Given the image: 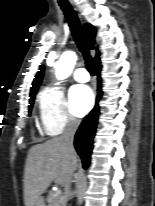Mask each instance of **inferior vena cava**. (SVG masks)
Instances as JSON below:
<instances>
[{"label":"inferior vena cava","instance_id":"inferior-vena-cava-1","mask_svg":"<svg viewBox=\"0 0 155 206\" xmlns=\"http://www.w3.org/2000/svg\"><path fill=\"white\" fill-rule=\"evenodd\" d=\"M78 127H79V121L74 117H69L64 133L61 136V140L65 146V149L69 153L74 152L73 140H74L75 132L77 131ZM70 184H71V179L65 185V190L67 193L70 190Z\"/></svg>","mask_w":155,"mask_h":206}]
</instances>
